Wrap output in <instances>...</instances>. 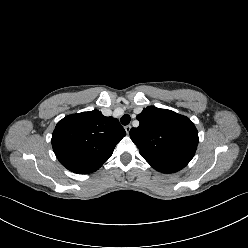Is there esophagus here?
I'll list each match as a JSON object with an SVG mask.
<instances>
[{
  "label": "esophagus",
  "instance_id": "34e87169",
  "mask_svg": "<svg viewBox=\"0 0 248 248\" xmlns=\"http://www.w3.org/2000/svg\"><path fill=\"white\" fill-rule=\"evenodd\" d=\"M124 129H125L126 133L129 134L131 126L127 125V126L124 127Z\"/></svg>",
  "mask_w": 248,
  "mask_h": 248
}]
</instances>
